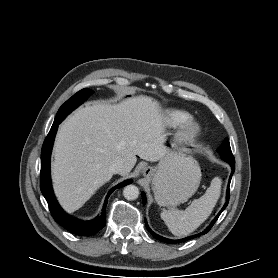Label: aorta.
<instances>
[{
	"mask_svg": "<svg viewBox=\"0 0 278 278\" xmlns=\"http://www.w3.org/2000/svg\"><path fill=\"white\" fill-rule=\"evenodd\" d=\"M123 196L127 200H135L139 196V189L135 185H128L123 190Z\"/></svg>",
	"mask_w": 278,
	"mask_h": 278,
	"instance_id": "1",
	"label": "aorta"
}]
</instances>
